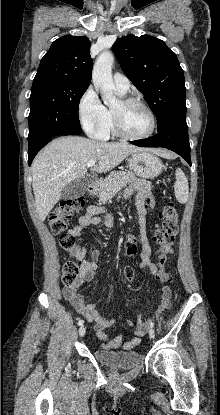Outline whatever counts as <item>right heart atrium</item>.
Listing matches in <instances>:
<instances>
[{
    "label": "right heart atrium",
    "instance_id": "right-heart-atrium-1",
    "mask_svg": "<svg viewBox=\"0 0 220 415\" xmlns=\"http://www.w3.org/2000/svg\"><path fill=\"white\" fill-rule=\"evenodd\" d=\"M78 117L84 131L94 139H101L109 124L110 115L95 89L89 86L78 103Z\"/></svg>",
    "mask_w": 220,
    "mask_h": 415
}]
</instances>
